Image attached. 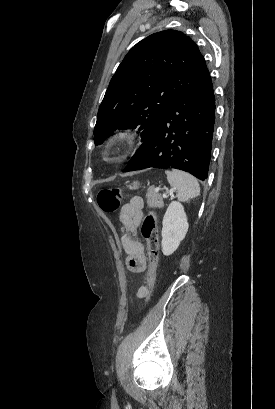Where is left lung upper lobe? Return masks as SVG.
Listing matches in <instances>:
<instances>
[{
  "label": "left lung upper lobe",
  "instance_id": "1",
  "mask_svg": "<svg viewBox=\"0 0 275 409\" xmlns=\"http://www.w3.org/2000/svg\"><path fill=\"white\" fill-rule=\"evenodd\" d=\"M208 74L198 46L182 32L165 30L143 39L110 81L97 115L95 145L116 129L137 126L145 141L168 109Z\"/></svg>",
  "mask_w": 275,
  "mask_h": 409
}]
</instances>
